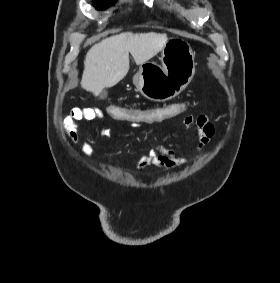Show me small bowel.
<instances>
[{
	"mask_svg": "<svg viewBox=\"0 0 280 283\" xmlns=\"http://www.w3.org/2000/svg\"><path fill=\"white\" fill-rule=\"evenodd\" d=\"M103 116L104 112L99 108H88L85 110H78L76 112L69 113L65 118V126L67 128L68 136L71 142L73 144L78 143V128L82 124L98 121L102 119ZM128 123H130L132 126H138L142 124L138 122ZM183 124L187 128H191L193 126H197L198 128V153L193 159L197 160L201 158L204 148L213 137L215 133V126L205 115L198 116L197 118L188 115L183 119ZM110 133V128L104 127L100 130L99 135L101 138H108L110 136ZM82 154L86 158H91L93 156L94 148L90 142H86L82 146ZM189 162L190 160L177 156L171 149H167L165 147H154L140 157L137 163V169L139 171H142L150 166H157L163 171H170L185 166Z\"/></svg>",
	"mask_w": 280,
	"mask_h": 283,
	"instance_id": "small-bowel-1",
	"label": "small bowel"
}]
</instances>
